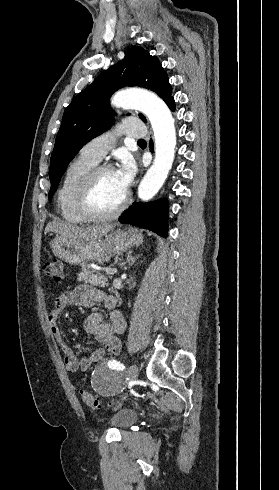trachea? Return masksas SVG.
Segmentation results:
<instances>
[{
	"label": "trachea",
	"instance_id": "3493384b",
	"mask_svg": "<svg viewBox=\"0 0 279 490\" xmlns=\"http://www.w3.org/2000/svg\"><path fill=\"white\" fill-rule=\"evenodd\" d=\"M138 143H146V142H145V140L140 139V140H138Z\"/></svg>",
	"mask_w": 279,
	"mask_h": 490
}]
</instances>
